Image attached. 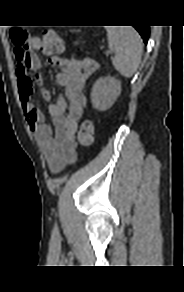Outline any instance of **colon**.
I'll use <instances>...</instances> for the list:
<instances>
[{
    "label": "colon",
    "instance_id": "colon-1",
    "mask_svg": "<svg viewBox=\"0 0 184 292\" xmlns=\"http://www.w3.org/2000/svg\"><path fill=\"white\" fill-rule=\"evenodd\" d=\"M10 38L14 45V55L19 59H25L28 51L29 37L21 28L10 30ZM64 42L61 36L53 30H45L42 35L40 49L44 55L53 56L63 51ZM94 139V126L90 120L81 123L78 131V141L81 146L87 147Z\"/></svg>",
    "mask_w": 184,
    "mask_h": 292
}]
</instances>
